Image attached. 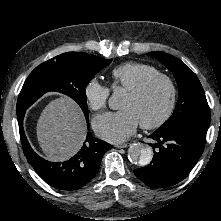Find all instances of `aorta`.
<instances>
[{"mask_svg": "<svg viewBox=\"0 0 221 221\" xmlns=\"http://www.w3.org/2000/svg\"><path fill=\"white\" fill-rule=\"evenodd\" d=\"M121 94L119 91H115L109 98L108 104L111 109H117L119 105ZM153 158V150L150 146L135 143L128 149V159L132 164L139 166L148 165Z\"/></svg>", "mask_w": 221, "mask_h": 221, "instance_id": "aorta-1", "label": "aorta"}]
</instances>
